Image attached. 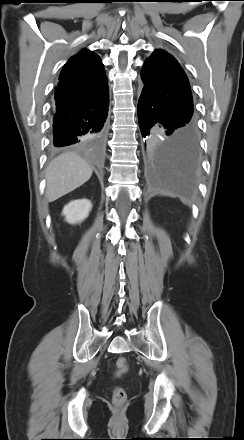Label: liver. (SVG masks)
I'll return each mask as SVG.
<instances>
[{
  "label": "liver",
  "instance_id": "6515ba94",
  "mask_svg": "<svg viewBox=\"0 0 244 440\" xmlns=\"http://www.w3.org/2000/svg\"><path fill=\"white\" fill-rule=\"evenodd\" d=\"M92 168L75 152H66L55 158L47 167L46 198L53 202L87 182Z\"/></svg>",
  "mask_w": 244,
  "mask_h": 440
}]
</instances>
